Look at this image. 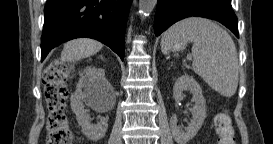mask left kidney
<instances>
[{
	"mask_svg": "<svg viewBox=\"0 0 273 144\" xmlns=\"http://www.w3.org/2000/svg\"><path fill=\"white\" fill-rule=\"evenodd\" d=\"M183 91H190L193 94L195 106L192 108V120L185 131L177 126V116L170 119L172 135L178 144H186L191 140L201 128L206 117V102L202 94V89L198 82L190 75H181L173 87V97L176 102L183 99Z\"/></svg>",
	"mask_w": 273,
	"mask_h": 144,
	"instance_id": "obj_1",
	"label": "left kidney"
}]
</instances>
